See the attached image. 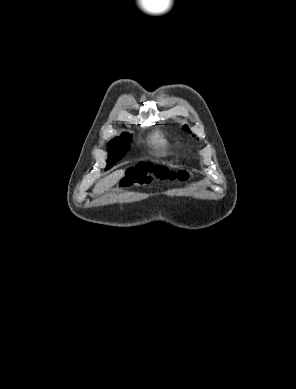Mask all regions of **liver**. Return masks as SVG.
Masks as SVG:
<instances>
[{"mask_svg":"<svg viewBox=\"0 0 296 389\" xmlns=\"http://www.w3.org/2000/svg\"><path fill=\"white\" fill-rule=\"evenodd\" d=\"M125 174L124 170H117L112 174L106 176L101 179L93 189V195H99L109 190L112 186H114Z\"/></svg>","mask_w":296,"mask_h":389,"instance_id":"liver-1","label":"liver"}]
</instances>
